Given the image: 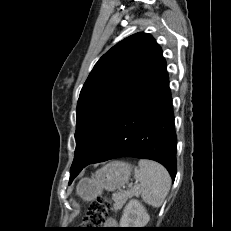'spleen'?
Masks as SVG:
<instances>
[{
  "label": "spleen",
  "mask_w": 231,
  "mask_h": 231,
  "mask_svg": "<svg viewBox=\"0 0 231 231\" xmlns=\"http://www.w3.org/2000/svg\"><path fill=\"white\" fill-rule=\"evenodd\" d=\"M139 169H135L134 177L141 182L139 194L142 200L158 208L162 205L171 186V177L168 171L159 163L141 159Z\"/></svg>",
  "instance_id": "3e777b00"
}]
</instances>
